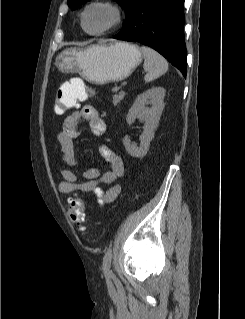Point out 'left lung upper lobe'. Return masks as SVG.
Instances as JSON below:
<instances>
[{
    "label": "left lung upper lobe",
    "mask_w": 245,
    "mask_h": 319,
    "mask_svg": "<svg viewBox=\"0 0 245 319\" xmlns=\"http://www.w3.org/2000/svg\"><path fill=\"white\" fill-rule=\"evenodd\" d=\"M89 0H68V6L72 7V9L76 8L77 6L87 2ZM119 5H121L126 13V21L123 24L124 25L127 23V21L129 20V18L132 15V12L137 4V2L139 0H115Z\"/></svg>",
    "instance_id": "left-lung-upper-lobe-1"
}]
</instances>
